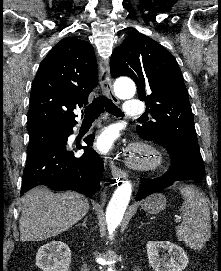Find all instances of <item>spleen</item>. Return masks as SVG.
I'll list each match as a JSON object with an SVG mask.
<instances>
[{
  "label": "spleen",
  "instance_id": "1",
  "mask_svg": "<svg viewBox=\"0 0 221 271\" xmlns=\"http://www.w3.org/2000/svg\"><path fill=\"white\" fill-rule=\"evenodd\" d=\"M185 199L180 205L183 217L181 225H177V237L191 249H201L211 237V217L208 203L202 193L194 187H182Z\"/></svg>",
  "mask_w": 221,
  "mask_h": 271
}]
</instances>
